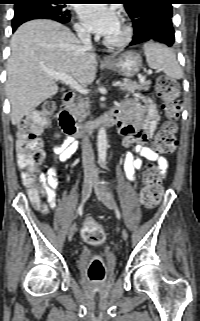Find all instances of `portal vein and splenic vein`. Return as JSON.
Masks as SVG:
<instances>
[{"label": "portal vein and splenic vein", "mask_w": 200, "mask_h": 321, "mask_svg": "<svg viewBox=\"0 0 200 321\" xmlns=\"http://www.w3.org/2000/svg\"><path fill=\"white\" fill-rule=\"evenodd\" d=\"M44 72H45V74L53 77L54 79L64 82L66 85H69L70 87H72L73 89H75L78 92H80L82 94H88L87 89H84L76 80H74L71 76L67 75L66 73H58V72H54V71H50V70H44ZM147 73L149 75H151L153 72H152V70H148ZM144 79H145L144 76L140 77L141 81H143ZM120 85H121L120 81L113 83L114 87H117Z\"/></svg>", "instance_id": "1"}]
</instances>
